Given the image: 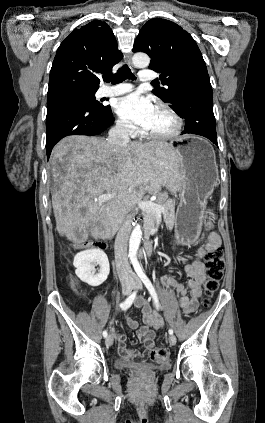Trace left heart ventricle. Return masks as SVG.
Segmentation results:
<instances>
[{
  "label": "left heart ventricle",
  "instance_id": "obj_1",
  "mask_svg": "<svg viewBox=\"0 0 265 423\" xmlns=\"http://www.w3.org/2000/svg\"><path fill=\"white\" fill-rule=\"evenodd\" d=\"M174 126L173 119L161 109L156 108L152 120L146 129L152 132L166 133L173 130Z\"/></svg>",
  "mask_w": 265,
  "mask_h": 423
}]
</instances>
